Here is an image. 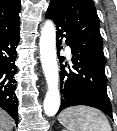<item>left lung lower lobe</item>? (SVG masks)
<instances>
[{"label":"left lung lower lobe","mask_w":117,"mask_h":131,"mask_svg":"<svg viewBox=\"0 0 117 131\" xmlns=\"http://www.w3.org/2000/svg\"><path fill=\"white\" fill-rule=\"evenodd\" d=\"M46 18L54 21L57 29V48L60 53L61 40L64 38L72 53V67L61 64L60 90L61 106L58 113L70 106L86 105L97 108L112 116V106L107 95L105 66L94 60L88 52L81 49L72 39L69 29L53 13L46 12ZM60 63L63 62V57ZM67 65V64H66Z\"/></svg>","instance_id":"0a47b994"}]
</instances>
